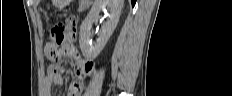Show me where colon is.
Instances as JSON below:
<instances>
[{
    "label": "colon",
    "instance_id": "5ec220e1",
    "mask_svg": "<svg viewBox=\"0 0 232 96\" xmlns=\"http://www.w3.org/2000/svg\"><path fill=\"white\" fill-rule=\"evenodd\" d=\"M67 20L65 18H61L57 20L49 30V48L46 49V55L48 58L52 60H58L62 56H69L71 52L78 53L76 47L70 48L66 46L67 35L66 31ZM90 63V62H86ZM85 75L91 73L93 68H84ZM81 71L78 70V77L82 79L80 76Z\"/></svg>",
    "mask_w": 232,
    "mask_h": 96
}]
</instances>
